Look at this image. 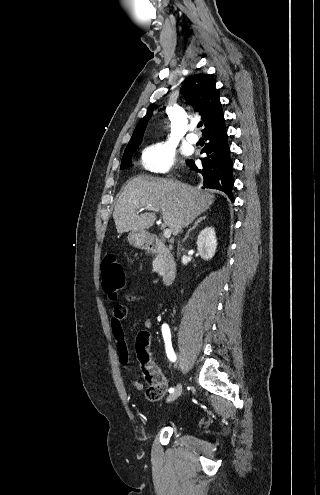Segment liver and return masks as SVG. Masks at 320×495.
Wrapping results in <instances>:
<instances>
[{"label": "liver", "mask_w": 320, "mask_h": 495, "mask_svg": "<svg viewBox=\"0 0 320 495\" xmlns=\"http://www.w3.org/2000/svg\"><path fill=\"white\" fill-rule=\"evenodd\" d=\"M213 193L163 178L138 176L129 180L119 196L113 219L119 234L150 228L154 213L139 214L138 209L152 206L161 210L164 224L173 235L188 227L213 204Z\"/></svg>", "instance_id": "6515ba94"}]
</instances>
